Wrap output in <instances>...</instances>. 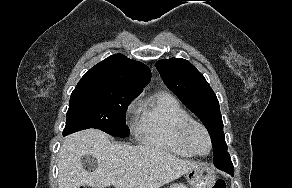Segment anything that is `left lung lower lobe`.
Returning <instances> with one entry per match:
<instances>
[{"instance_id": "obj_1", "label": "left lung lower lobe", "mask_w": 292, "mask_h": 188, "mask_svg": "<svg viewBox=\"0 0 292 188\" xmlns=\"http://www.w3.org/2000/svg\"><path fill=\"white\" fill-rule=\"evenodd\" d=\"M215 166H216L217 168H223V169H226V170H227L228 168L225 167V166H231V167H233L230 158H229L228 160H226V161H225L224 163H222V164H215Z\"/></svg>"}]
</instances>
